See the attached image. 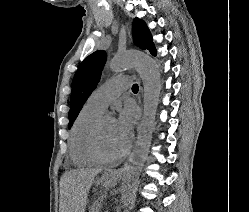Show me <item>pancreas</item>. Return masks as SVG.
<instances>
[{
	"label": "pancreas",
	"mask_w": 249,
	"mask_h": 212,
	"mask_svg": "<svg viewBox=\"0 0 249 212\" xmlns=\"http://www.w3.org/2000/svg\"><path fill=\"white\" fill-rule=\"evenodd\" d=\"M91 212H100V204H98V206H92Z\"/></svg>",
	"instance_id": "cf45deb5"
}]
</instances>
